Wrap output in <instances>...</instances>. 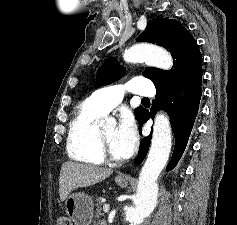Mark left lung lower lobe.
Returning a JSON list of instances; mask_svg holds the SVG:
<instances>
[{
  "mask_svg": "<svg viewBox=\"0 0 237 225\" xmlns=\"http://www.w3.org/2000/svg\"><path fill=\"white\" fill-rule=\"evenodd\" d=\"M202 76L193 78L182 85L156 89V98L152 108H143L138 119L140 130L150 118L154 119L159 109L165 110L175 134V147L167 171L175 168L188 143L202 95ZM152 135L145 137L141 144L136 164L139 165L147 155Z\"/></svg>",
  "mask_w": 237,
  "mask_h": 225,
  "instance_id": "0a47b994",
  "label": "left lung lower lobe"
}]
</instances>
